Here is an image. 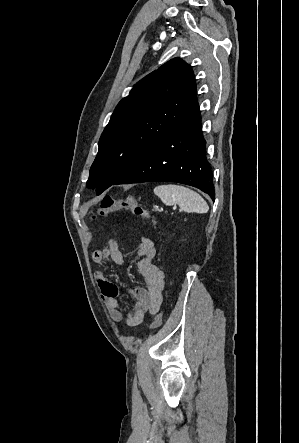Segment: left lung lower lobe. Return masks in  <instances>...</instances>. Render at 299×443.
<instances>
[{
	"label": "left lung lower lobe",
	"instance_id": "0a47b994",
	"mask_svg": "<svg viewBox=\"0 0 299 443\" xmlns=\"http://www.w3.org/2000/svg\"><path fill=\"white\" fill-rule=\"evenodd\" d=\"M149 181L191 185L214 199L213 174L205 157L198 105L112 185Z\"/></svg>",
	"mask_w": 299,
	"mask_h": 443
}]
</instances>
